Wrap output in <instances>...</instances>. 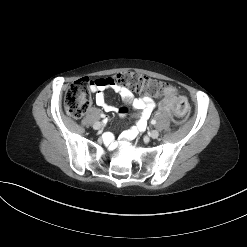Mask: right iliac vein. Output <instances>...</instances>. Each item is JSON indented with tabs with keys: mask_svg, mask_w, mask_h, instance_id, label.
Listing matches in <instances>:
<instances>
[{
	"mask_svg": "<svg viewBox=\"0 0 247 247\" xmlns=\"http://www.w3.org/2000/svg\"><path fill=\"white\" fill-rule=\"evenodd\" d=\"M93 128L95 130H100L102 128V124L100 122H96L94 123Z\"/></svg>",
	"mask_w": 247,
	"mask_h": 247,
	"instance_id": "63e3f726",
	"label": "right iliac vein"
}]
</instances>
